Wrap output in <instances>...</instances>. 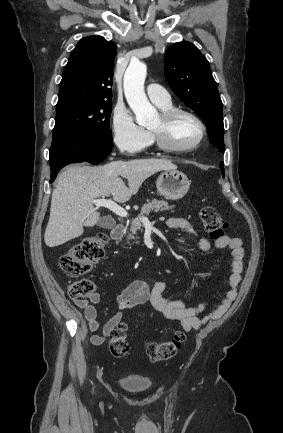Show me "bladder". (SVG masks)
Returning <instances> with one entry per match:
<instances>
[{
  "instance_id": "bladder-1",
  "label": "bladder",
  "mask_w": 283,
  "mask_h": 433,
  "mask_svg": "<svg viewBox=\"0 0 283 433\" xmlns=\"http://www.w3.org/2000/svg\"><path fill=\"white\" fill-rule=\"evenodd\" d=\"M151 384L150 378L137 374H124L119 380V385L125 386L130 393H143Z\"/></svg>"
}]
</instances>
